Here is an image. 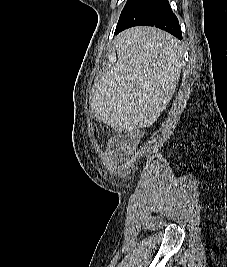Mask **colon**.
Here are the masks:
<instances>
[{
    "instance_id": "1",
    "label": "colon",
    "mask_w": 227,
    "mask_h": 267,
    "mask_svg": "<svg viewBox=\"0 0 227 267\" xmlns=\"http://www.w3.org/2000/svg\"><path fill=\"white\" fill-rule=\"evenodd\" d=\"M141 138V133L140 132H135L130 136H127L123 139L128 145L133 144L135 141L139 140Z\"/></svg>"
}]
</instances>
